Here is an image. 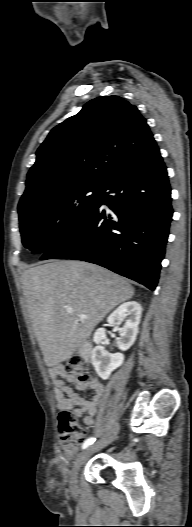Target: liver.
Here are the masks:
<instances>
[{
    "instance_id": "liver-1",
    "label": "liver",
    "mask_w": 192,
    "mask_h": 527,
    "mask_svg": "<svg viewBox=\"0 0 192 527\" xmlns=\"http://www.w3.org/2000/svg\"><path fill=\"white\" fill-rule=\"evenodd\" d=\"M23 294L48 367L69 360L134 288L119 275L81 261H54L22 273ZM71 307L73 313H67ZM84 314L86 319L78 315Z\"/></svg>"
}]
</instances>
